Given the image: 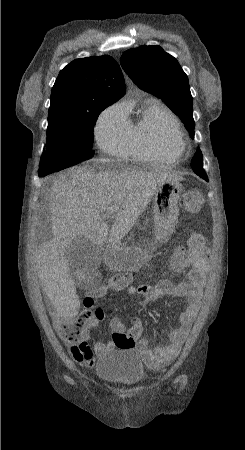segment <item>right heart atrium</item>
<instances>
[{
  "label": "right heart atrium",
  "mask_w": 245,
  "mask_h": 450,
  "mask_svg": "<svg viewBox=\"0 0 245 450\" xmlns=\"http://www.w3.org/2000/svg\"><path fill=\"white\" fill-rule=\"evenodd\" d=\"M95 140L102 151L114 158L128 154L129 123L125 106L117 103L105 109L94 127Z\"/></svg>",
  "instance_id": "d8ad5b80"
}]
</instances>
